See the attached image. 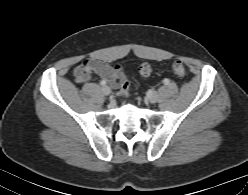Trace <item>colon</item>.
<instances>
[{
	"label": "colon",
	"instance_id": "obj_1",
	"mask_svg": "<svg viewBox=\"0 0 248 195\" xmlns=\"http://www.w3.org/2000/svg\"><path fill=\"white\" fill-rule=\"evenodd\" d=\"M138 71L141 76L149 77L153 72V68L150 63L144 62L139 66ZM172 72L178 79H183L187 75L186 67L181 61H175L172 64ZM118 94L122 97L129 95V84L126 81H122L119 85Z\"/></svg>",
	"mask_w": 248,
	"mask_h": 195
}]
</instances>
